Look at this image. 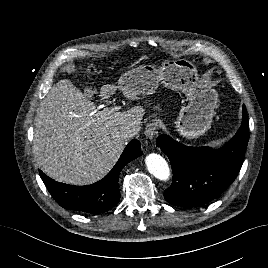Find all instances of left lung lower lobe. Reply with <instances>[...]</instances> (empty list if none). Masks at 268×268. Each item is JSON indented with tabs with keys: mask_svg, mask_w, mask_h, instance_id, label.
Wrapping results in <instances>:
<instances>
[{
	"mask_svg": "<svg viewBox=\"0 0 268 268\" xmlns=\"http://www.w3.org/2000/svg\"><path fill=\"white\" fill-rule=\"evenodd\" d=\"M248 117L243 106L242 124L220 149L182 145L164 134L156 145L168 156L173 181L164 197L172 205L199 207L219 196L239 173L248 145Z\"/></svg>",
	"mask_w": 268,
	"mask_h": 268,
	"instance_id": "0a47b994",
	"label": "left lung lower lobe"
}]
</instances>
